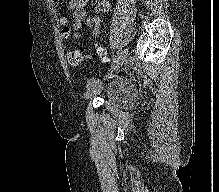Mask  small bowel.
<instances>
[{
  "instance_id": "c3829d8e",
  "label": "small bowel",
  "mask_w": 219,
  "mask_h": 192,
  "mask_svg": "<svg viewBox=\"0 0 219 192\" xmlns=\"http://www.w3.org/2000/svg\"><path fill=\"white\" fill-rule=\"evenodd\" d=\"M87 0H67L66 9L73 15L72 24L69 25L67 18L61 20L63 27V34L69 36L72 34L73 39L79 40L81 38V29L83 24L86 23L93 31L94 36H98L100 33V27L102 19L100 14L107 13L110 10V2L108 0H93L92 6L95 11V15L88 16L86 9L84 8ZM81 54H85L82 47H78L75 50Z\"/></svg>"
}]
</instances>
